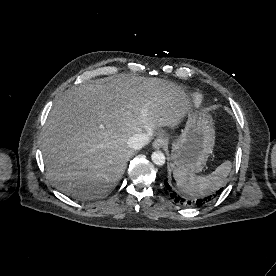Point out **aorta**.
<instances>
[{
    "mask_svg": "<svg viewBox=\"0 0 276 276\" xmlns=\"http://www.w3.org/2000/svg\"><path fill=\"white\" fill-rule=\"evenodd\" d=\"M152 162L157 166H162L165 164L166 157L161 151H155L151 155Z\"/></svg>",
    "mask_w": 276,
    "mask_h": 276,
    "instance_id": "1",
    "label": "aorta"
}]
</instances>
